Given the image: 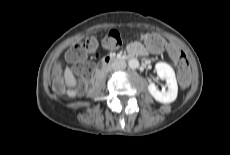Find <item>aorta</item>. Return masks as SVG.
I'll return each instance as SVG.
<instances>
[{"mask_svg":"<svg viewBox=\"0 0 230 155\" xmlns=\"http://www.w3.org/2000/svg\"><path fill=\"white\" fill-rule=\"evenodd\" d=\"M139 61L137 59H130L128 61V66L131 68V69H137L139 67Z\"/></svg>","mask_w":230,"mask_h":155,"instance_id":"obj_1","label":"aorta"}]
</instances>
